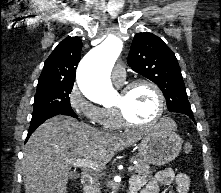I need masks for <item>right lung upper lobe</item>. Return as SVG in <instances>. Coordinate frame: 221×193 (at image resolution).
<instances>
[{"label": "right lung upper lobe", "instance_id": "cb5924a9", "mask_svg": "<svg viewBox=\"0 0 221 193\" xmlns=\"http://www.w3.org/2000/svg\"><path fill=\"white\" fill-rule=\"evenodd\" d=\"M81 49L79 37H68L61 41L46 60L38 86L74 84Z\"/></svg>", "mask_w": 221, "mask_h": 193}]
</instances>
